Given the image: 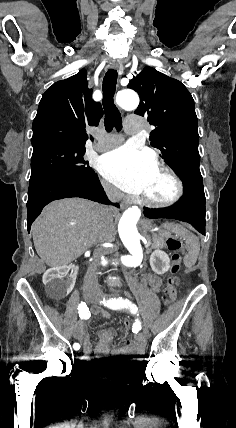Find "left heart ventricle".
Segmentation results:
<instances>
[{
    "label": "left heart ventricle",
    "mask_w": 236,
    "mask_h": 428,
    "mask_svg": "<svg viewBox=\"0 0 236 428\" xmlns=\"http://www.w3.org/2000/svg\"><path fill=\"white\" fill-rule=\"evenodd\" d=\"M174 190V183L163 170L159 169L155 170L148 178L142 195L157 200H165L174 193Z\"/></svg>",
    "instance_id": "obj_1"
}]
</instances>
